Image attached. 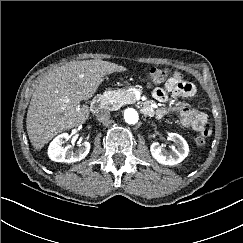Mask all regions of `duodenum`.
<instances>
[{"label":"duodenum","instance_id":"obj_1","mask_svg":"<svg viewBox=\"0 0 243 243\" xmlns=\"http://www.w3.org/2000/svg\"><path fill=\"white\" fill-rule=\"evenodd\" d=\"M107 101L105 96L103 95H97L94 100L92 101L91 104V110L93 113H98L99 111H101L102 109H104L106 107ZM142 111L144 114L148 115V116H152L153 114V109L151 108L150 105H144L142 107Z\"/></svg>","mask_w":243,"mask_h":243}]
</instances>
